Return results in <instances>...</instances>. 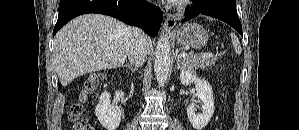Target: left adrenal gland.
<instances>
[{
	"instance_id": "obj_1",
	"label": "left adrenal gland",
	"mask_w": 299,
	"mask_h": 130,
	"mask_svg": "<svg viewBox=\"0 0 299 130\" xmlns=\"http://www.w3.org/2000/svg\"><path fill=\"white\" fill-rule=\"evenodd\" d=\"M177 69L181 68V61L179 60V58H177V65H176Z\"/></svg>"
}]
</instances>
